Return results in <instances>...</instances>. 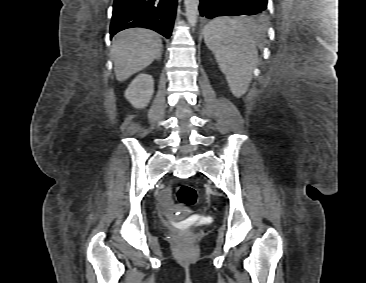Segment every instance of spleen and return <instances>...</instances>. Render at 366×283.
<instances>
[{
    "instance_id": "spleen-1",
    "label": "spleen",
    "mask_w": 366,
    "mask_h": 283,
    "mask_svg": "<svg viewBox=\"0 0 366 283\" xmlns=\"http://www.w3.org/2000/svg\"><path fill=\"white\" fill-rule=\"evenodd\" d=\"M259 34L258 27L247 19L221 17L205 27V43L236 97L244 95L249 88L258 60Z\"/></svg>"
}]
</instances>
